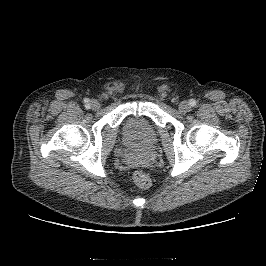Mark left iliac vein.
I'll return each instance as SVG.
<instances>
[{
	"mask_svg": "<svg viewBox=\"0 0 266 266\" xmlns=\"http://www.w3.org/2000/svg\"><path fill=\"white\" fill-rule=\"evenodd\" d=\"M178 108L181 112L185 113V112H188L191 107L187 101H182V102H180Z\"/></svg>",
	"mask_w": 266,
	"mask_h": 266,
	"instance_id": "left-iliac-vein-1",
	"label": "left iliac vein"
}]
</instances>
